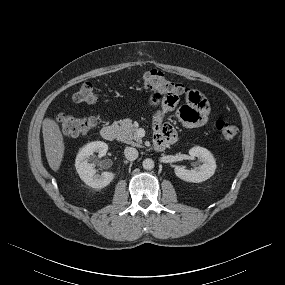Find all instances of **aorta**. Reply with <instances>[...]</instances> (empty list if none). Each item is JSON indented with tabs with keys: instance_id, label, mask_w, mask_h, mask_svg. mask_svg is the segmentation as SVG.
<instances>
[{
	"instance_id": "obj_1",
	"label": "aorta",
	"mask_w": 285,
	"mask_h": 285,
	"mask_svg": "<svg viewBox=\"0 0 285 285\" xmlns=\"http://www.w3.org/2000/svg\"><path fill=\"white\" fill-rule=\"evenodd\" d=\"M142 166L145 170H152L154 168V161L150 158L143 160Z\"/></svg>"
}]
</instances>
